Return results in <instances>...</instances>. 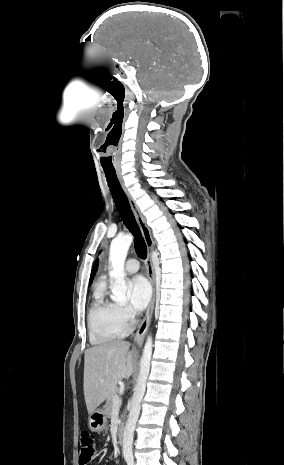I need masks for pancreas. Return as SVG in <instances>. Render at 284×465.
Instances as JSON below:
<instances>
[{
    "mask_svg": "<svg viewBox=\"0 0 284 465\" xmlns=\"http://www.w3.org/2000/svg\"><path fill=\"white\" fill-rule=\"evenodd\" d=\"M118 393V389H114V391H112V393H110V395H108L107 397V401H106V405L104 407L105 411V415H107L108 419H110L111 415H112V409H113V397H115V395H117ZM124 419V415H121V421H123ZM119 427H122V425H119Z\"/></svg>",
    "mask_w": 284,
    "mask_h": 465,
    "instance_id": "obj_1",
    "label": "pancreas"
}]
</instances>
